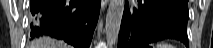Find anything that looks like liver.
<instances>
[{"label": "liver", "mask_w": 213, "mask_h": 48, "mask_svg": "<svg viewBox=\"0 0 213 48\" xmlns=\"http://www.w3.org/2000/svg\"><path fill=\"white\" fill-rule=\"evenodd\" d=\"M29 48H71L62 41H56L49 37L40 38L33 41Z\"/></svg>", "instance_id": "1"}]
</instances>
